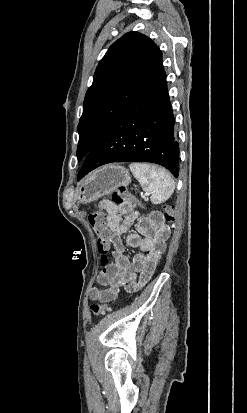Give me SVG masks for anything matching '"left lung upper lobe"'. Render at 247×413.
Returning a JSON list of instances; mask_svg holds the SVG:
<instances>
[{
    "label": "left lung upper lobe",
    "instance_id": "1",
    "mask_svg": "<svg viewBox=\"0 0 247 413\" xmlns=\"http://www.w3.org/2000/svg\"><path fill=\"white\" fill-rule=\"evenodd\" d=\"M162 53L145 35L129 32L99 62L79 120L78 160L162 69Z\"/></svg>",
    "mask_w": 247,
    "mask_h": 413
}]
</instances>
